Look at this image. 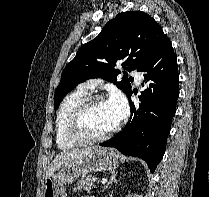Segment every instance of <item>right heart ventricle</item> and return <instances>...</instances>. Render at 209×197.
Segmentation results:
<instances>
[{"instance_id":"1","label":"right heart ventricle","mask_w":209,"mask_h":197,"mask_svg":"<svg viewBox=\"0 0 209 197\" xmlns=\"http://www.w3.org/2000/svg\"><path fill=\"white\" fill-rule=\"evenodd\" d=\"M89 90L79 87L70 94H68L62 101L55 121L56 143L62 150H69L77 146V144L70 141L66 134V123L70 112L87 96Z\"/></svg>"}]
</instances>
